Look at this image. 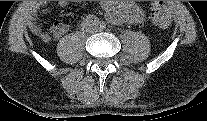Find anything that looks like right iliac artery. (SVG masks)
Returning <instances> with one entry per match:
<instances>
[{
	"label": "right iliac artery",
	"instance_id": "82829eb1",
	"mask_svg": "<svg viewBox=\"0 0 207 121\" xmlns=\"http://www.w3.org/2000/svg\"><path fill=\"white\" fill-rule=\"evenodd\" d=\"M87 19L92 24H95L96 25V24L99 23V19L96 16H94V15H88L87 16Z\"/></svg>",
	"mask_w": 207,
	"mask_h": 121
}]
</instances>
